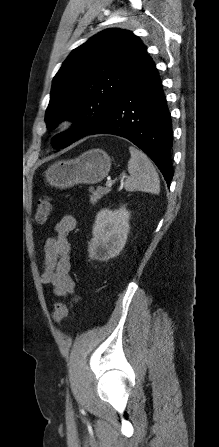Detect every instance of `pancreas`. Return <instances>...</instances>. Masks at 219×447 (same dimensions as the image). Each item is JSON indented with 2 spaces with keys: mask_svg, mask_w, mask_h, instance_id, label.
<instances>
[{
  "mask_svg": "<svg viewBox=\"0 0 219 447\" xmlns=\"http://www.w3.org/2000/svg\"><path fill=\"white\" fill-rule=\"evenodd\" d=\"M89 191L91 192L90 195L91 204H96L98 200H100L104 195L110 192V189L104 187H98L96 190L90 189Z\"/></svg>",
  "mask_w": 219,
  "mask_h": 447,
  "instance_id": "obj_1",
  "label": "pancreas"
}]
</instances>
